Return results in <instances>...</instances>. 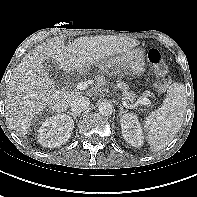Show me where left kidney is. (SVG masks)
Wrapping results in <instances>:
<instances>
[{"label": "left kidney", "mask_w": 197, "mask_h": 197, "mask_svg": "<svg viewBox=\"0 0 197 197\" xmlns=\"http://www.w3.org/2000/svg\"><path fill=\"white\" fill-rule=\"evenodd\" d=\"M122 135L125 141L134 147L143 145V133L138 117L134 114H125L121 118Z\"/></svg>", "instance_id": "left-kidney-1"}]
</instances>
